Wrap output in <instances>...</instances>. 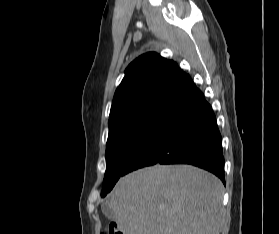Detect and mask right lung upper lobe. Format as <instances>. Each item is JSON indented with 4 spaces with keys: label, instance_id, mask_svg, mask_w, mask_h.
I'll return each mask as SVG.
<instances>
[{
    "label": "right lung upper lobe",
    "instance_id": "right-lung-upper-lobe-1",
    "mask_svg": "<svg viewBox=\"0 0 279 234\" xmlns=\"http://www.w3.org/2000/svg\"><path fill=\"white\" fill-rule=\"evenodd\" d=\"M194 85L176 62L155 52L143 54L127 67L115 92L109 120L148 106L171 107Z\"/></svg>",
    "mask_w": 279,
    "mask_h": 234
}]
</instances>
